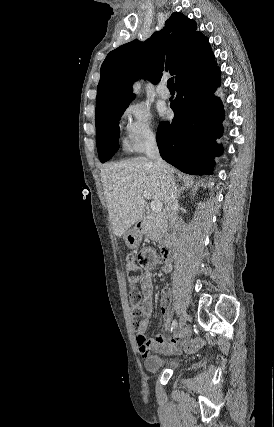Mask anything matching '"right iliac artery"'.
<instances>
[{
  "mask_svg": "<svg viewBox=\"0 0 274 427\" xmlns=\"http://www.w3.org/2000/svg\"><path fill=\"white\" fill-rule=\"evenodd\" d=\"M176 325H177V321H176V320H174V321L172 322V325H171V332L175 329Z\"/></svg>",
  "mask_w": 274,
  "mask_h": 427,
  "instance_id": "obj_1",
  "label": "right iliac artery"
}]
</instances>
